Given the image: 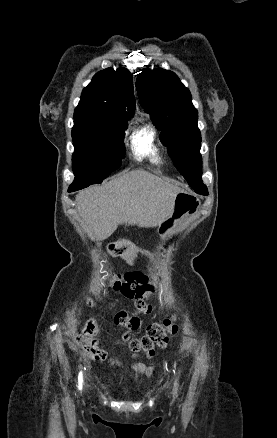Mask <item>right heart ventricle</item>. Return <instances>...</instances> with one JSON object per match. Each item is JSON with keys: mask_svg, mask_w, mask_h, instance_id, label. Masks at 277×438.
<instances>
[{"mask_svg": "<svg viewBox=\"0 0 277 438\" xmlns=\"http://www.w3.org/2000/svg\"><path fill=\"white\" fill-rule=\"evenodd\" d=\"M155 132L150 126L135 131L131 136V147L136 158L148 156L158 160V148L155 145Z\"/></svg>", "mask_w": 277, "mask_h": 438, "instance_id": "1", "label": "right heart ventricle"}]
</instances>
